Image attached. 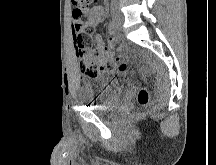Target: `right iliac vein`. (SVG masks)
<instances>
[{"label": "right iliac vein", "mask_w": 216, "mask_h": 165, "mask_svg": "<svg viewBox=\"0 0 216 165\" xmlns=\"http://www.w3.org/2000/svg\"><path fill=\"white\" fill-rule=\"evenodd\" d=\"M112 20L116 26V28H120L123 23V17L120 13L114 11L112 14Z\"/></svg>", "instance_id": "obj_1"}]
</instances>
